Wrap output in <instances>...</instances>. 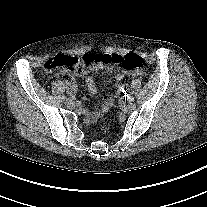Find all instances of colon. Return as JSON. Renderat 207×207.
<instances>
[{
    "label": "colon",
    "instance_id": "5ec220e1",
    "mask_svg": "<svg viewBox=\"0 0 207 207\" xmlns=\"http://www.w3.org/2000/svg\"><path fill=\"white\" fill-rule=\"evenodd\" d=\"M92 63L121 65L127 71L141 69L144 65L142 57L129 53L124 56L118 54H89L79 59L72 55L61 54L48 61L45 65L47 71L63 70L64 78L72 82L73 74L81 65H90Z\"/></svg>",
    "mask_w": 207,
    "mask_h": 207
}]
</instances>
